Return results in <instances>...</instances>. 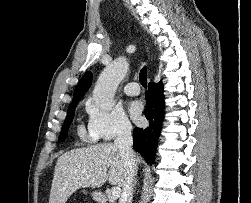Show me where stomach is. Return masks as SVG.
Here are the masks:
<instances>
[{
  "instance_id": "0dacf381",
  "label": "stomach",
  "mask_w": 251,
  "mask_h": 203,
  "mask_svg": "<svg viewBox=\"0 0 251 203\" xmlns=\"http://www.w3.org/2000/svg\"><path fill=\"white\" fill-rule=\"evenodd\" d=\"M93 196H95L96 195V193L95 192H93V194H92Z\"/></svg>"
}]
</instances>
